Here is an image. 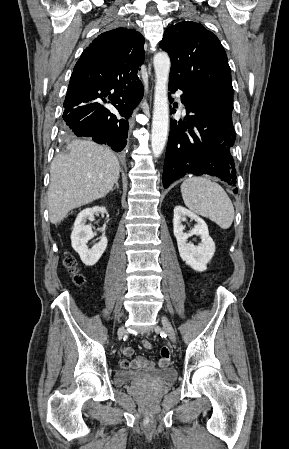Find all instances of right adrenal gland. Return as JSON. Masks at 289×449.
I'll return each mask as SVG.
<instances>
[{
    "instance_id": "1",
    "label": "right adrenal gland",
    "mask_w": 289,
    "mask_h": 449,
    "mask_svg": "<svg viewBox=\"0 0 289 449\" xmlns=\"http://www.w3.org/2000/svg\"><path fill=\"white\" fill-rule=\"evenodd\" d=\"M119 189V183L118 181L115 182V186L111 189V191H113L114 189Z\"/></svg>"
}]
</instances>
